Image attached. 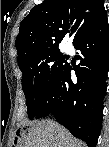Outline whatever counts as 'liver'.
Returning a JSON list of instances; mask_svg holds the SVG:
<instances>
[{
  "instance_id": "6515ba94",
  "label": "liver",
  "mask_w": 109,
  "mask_h": 147,
  "mask_svg": "<svg viewBox=\"0 0 109 147\" xmlns=\"http://www.w3.org/2000/svg\"><path fill=\"white\" fill-rule=\"evenodd\" d=\"M84 143L51 120L30 123L28 134L24 137L23 147H83Z\"/></svg>"
}]
</instances>
